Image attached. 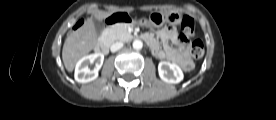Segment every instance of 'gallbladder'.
Wrapping results in <instances>:
<instances>
[{
  "mask_svg": "<svg viewBox=\"0 0 276 120\" xmlns=\"http://www.w3.org/2000/svg\"><path fill=\"white\" fill-rule=\"evenodd\" d=\"M93 25H94V30H95L96 34L100 35L104 29L103 23L99 20H95L93 22Z\"/></svg>",
  "mask_w": 276,
  "mask_h": 120,
  "instance_id": "gallbladder-1",
  "label": "gallbladder"
}]
</instances>
